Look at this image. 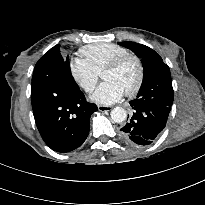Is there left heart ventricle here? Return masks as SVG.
Masks as SVG:
<instances>
[{"label": "left heart ventricle", "instance_id": "1", "mask_svg": "<svg viewBox=\"0 0 205 205\" xmlns=\"http://www.w3.org/2000/svg\"><path fill=\"white\" fill-rule=\"evenodd\" d=\"M101 77L105 81H113L117 83L124 91H126L135 83L137 67L133 61H128L117 70L103 72Z\"/></svg>", "mask_w": 205, "mask_h": 205}]
</instances>
